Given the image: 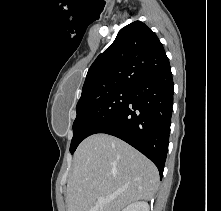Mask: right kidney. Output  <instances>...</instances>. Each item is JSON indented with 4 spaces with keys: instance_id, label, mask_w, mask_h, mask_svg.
I'll list each match as a JSON object with an SVG mask.
<instances>
[{
    "instance_id": "right-kidney-1",
    "label": "right kidney",
    "mask_w": 221,
    "mask_h": 211,
    "mask_svg": "<svg viewBox=\"0 0 221 211\" xmlns=\"http://www.w3.org/2000/svg\"><path fill=\"white\" fill-rule=\"evenodd\" d=\"M122 211H149V205L147 202H134L124 208Z\"/></svg>"
}]
</instances>
